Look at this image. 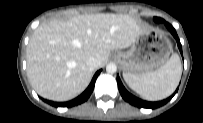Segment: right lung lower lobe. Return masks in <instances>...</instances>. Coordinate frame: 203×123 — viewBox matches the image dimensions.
Here are the masks:
<instances>
[{
    "label": "right lung lower lobe",
    "mask_w": 203,
    "mask_h": 123,
    "mask_svg": "<svg viewBox=\"0 0 203 123\" xmlns=\"http://www.w3.org/2000/svg\"><path fill=\"white\" fill-rule=\"evenodd\" d=\"M101 72V70L97 71L96 74L94 75L90 85L88 86V88L77 98L68 101V102H53V101H48V100H44L45 102H47L48 104L54 106V107H73L76 105H79L83 102H85L91 95L93 89H94V85H95V81L97 76L99 75V73Z\"/></svg>",
    "instance_id": "right-lung-lower-lobe-1"
}]
</instances>
